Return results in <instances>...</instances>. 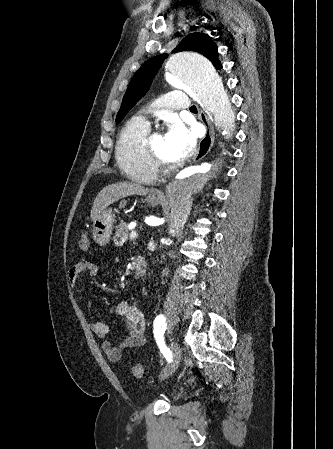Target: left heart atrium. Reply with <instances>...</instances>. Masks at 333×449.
<instances>
[{"mask_svg":"<svg viewBox=\"0 0 333 449\" xmlns=\"http://www.w3.org/2000/svg\"><path fill=\"white\" fill-rule=\"evenodd\" d=\"M165 139L173 162L189 157L196 144L195 134L180 122H173L169 126Z\"/></svg>","mask_w":333,"mask_h":449,"instance_id":"left-heart-atrium-1","label":"left heart atrium"}]
</instances>
